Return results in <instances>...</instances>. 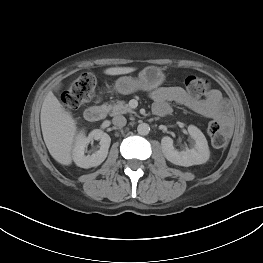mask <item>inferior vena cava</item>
Instances as JSON below:
<instances>
[{
    "label": "inferior vena cava",
    "mask_w": 263,
    "mask_h": 263,
    "mask_svg": "<svg viewBox=\"0 0 263 263\" xmlns=\"http://www.w3.org/2000/svg\"><path fill=\"white\" fill-rule=\"evenodd\" d=\"M112 122L118 127H123L126 125L127 120L123 115H116L113 117Z\"/></svg>",
    "instance_id": "1"
}]
</instances>
